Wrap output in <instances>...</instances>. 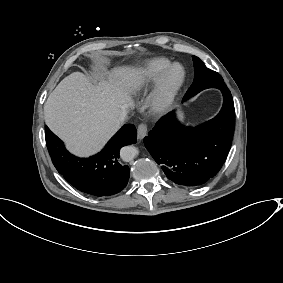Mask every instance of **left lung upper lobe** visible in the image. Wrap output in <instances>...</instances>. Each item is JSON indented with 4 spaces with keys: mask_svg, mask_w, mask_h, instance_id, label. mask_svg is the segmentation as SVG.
<instances>
[{
    "mask_svg": "<svg viewBox=\"0 0 283 283\" xmlns=\"http://www.w3.org/2000/svg\"><path fill=\"white\" fill-rule=\"evenodd\" d=\"M195 77L193 84L185 96H192L206 88L226 87L223 78L219 73L208 69L205 64L196 56H193Z\"/></svg>",
    "mask_w": 283,
    "mask_h": 283,
    "instance_id": "1",
    "label": "left lung upper lobe"
}]
</instances>
